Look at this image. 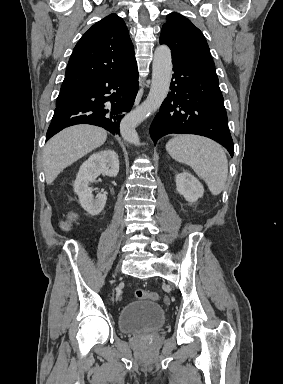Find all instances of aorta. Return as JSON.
I'll use <instances>...</instances> for the list:
<instances>
[{
    "label": "aorta",
    "instance_id": "762f6f07",
    "mask_svg": "<svg viewBox=\"0 0 283 384\" xmlns=\"http://www.w3.org/2000/svg\"><path fill=\"white\" fill-rule=\"evenodd\" d=\"M171 77V51L166 45L158 46L154 52L150 92L146 100L121 121L120 130L124 140L139 145L140 140L135 128L161 106L168 94Z\"/></svg>",
    "mask_w": 283,
    "mask_h": 384
}]
</instances>
